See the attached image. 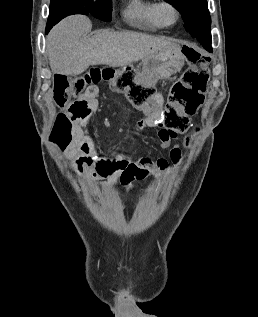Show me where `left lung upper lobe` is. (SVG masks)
I'll return each instance as SVG.
<instances>
[{
	"instance_id": "left-lung-upper-lobe-1",
	"label": "left lung upper lobe",
	"mask_w": 258,
	"mask_h": 317,
	"mask_svg": "<svg viewBox=\"0 0 258 317\" xmlns=\"http://www.w3.org/2000/svg\"><path fill=\"white\" fill-rule=\"evenodd\" d=\"M182 15L184 27L192 36L211 32V18L207 0H165Z\"/></svg>"
}]
</instances>
